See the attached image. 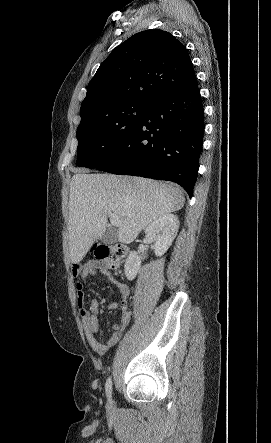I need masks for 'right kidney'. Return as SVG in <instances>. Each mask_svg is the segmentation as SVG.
I'll list each match as a JSON object with an SVG mask.
<instances>
[{
    "instance_id": "obj_1",
    "label": "right kidney",
    "mask_w": 271,
    "mask_h": 443,
    "mask_svg": "<svg viewBox=\"0 0 271 443\" xmlns=\"http://www.w3.org/2000/svg\"><path fill=\"white\" fill-rule=\"evenodd\" d=\"M179 225L180 223L177 216H174L171 212L159 216L157 220H154L150 225H147L145 233H147L152 241H154L153 249L155 255H163V253L167 251L177 235ZM124 267L127 279H134L139 269H141V261L138 251H130Z\"/></svg>"
}]
</instances>
